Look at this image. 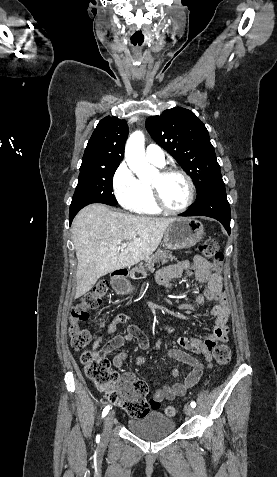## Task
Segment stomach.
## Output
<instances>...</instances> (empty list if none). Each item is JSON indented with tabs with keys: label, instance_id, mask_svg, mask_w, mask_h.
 <instances>
[{
	"label": "stomach",
	"instance_id": "stomach-1",
	"mask_svg": "<svg viewBox=\"0 0 277 477\" xmlns=\"http://www.w3.org/2000/svg\"><path fill=\"white\" fill-rule=\"evenodd\" d=\"M203 224L193 218H175L164 233L163 244L171 250L186 249L195 246L203 238ZM113 288L121 294L133 291L131 284L124 278L112 282Z\"/></svg>",
	"mask_w": 277,
	"mask_h": 477
}]
</instances>
